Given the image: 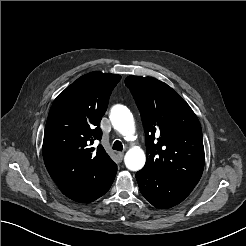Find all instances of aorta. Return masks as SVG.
I'll use <instances>...</instances> for the list:
<instances>
[{"label":"aorta","instance_id":"obj_1","mask_svg":"<svg viewBox=\"0 0 246 246\" xmlns=\"http://www.w3.org/2000/svg\"><path fill=\"white\" fill-rule=\"evenodd\" d=\"M111 123L123 136H131L135 132V122L130 110L123 105H115L110 112ZM146 161L144 151L140 147L130 148L124 157L126 167L131 171H138L143 168Z\"/></svg>","mask_w":246,"mask_h":246}]
</instances>
